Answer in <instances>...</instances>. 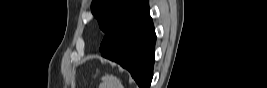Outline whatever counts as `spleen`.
I'll return each mask as SVG.
<instances>
[{
	"label": "spleen",
	"instance_id": "3e777b00",
	"mask_svg": "<svg viewBox=\"0 0 267 88\" xmlns=\"http://www.w3.org/2000/svg\"><path fill=\"white\" fill-rule=\"evenodd\" d=\"M105 81L107 83L106 85L108 86L107 88H123L120 80L114 76H108Z\"/></svg>",
	"mask_w": 267,
	"mask_h": 88
}]
</instances>
